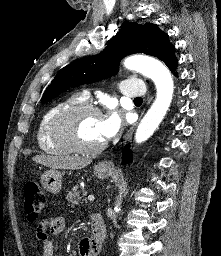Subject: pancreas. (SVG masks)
Masks as SVG:
<instances>
[{"mask_svg": "<svg viewBox=\"0 0 221 256\" xmlns=\"http://www.w3.org/2000/svg\"><path fill=\"white\" fill-rule=\"evenodd\" d=\"M86 191L84 189L79 190L78 186H75L71 192L67 194V200L71 204L78 205L79 203L86 202Z\"/></svg>", "mask_w": 221, "mask_h": 256, "instance_id": "cf45deb5", "label": "pancreas"}]
</instances>
